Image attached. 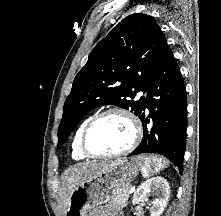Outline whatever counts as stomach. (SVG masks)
<instances>
[{
	"mask_svg": "<svg viewBox=\"0 0 221 216\" xmlns=\"http://www.w3.org/2000/svg\"><path fill=\"white\" fill-rule=\"evenodd\" d=\"M139 173L135 162L117 159L106 164L82 181L69 195L64 216H88L110 201L122 187L132 182Z\"/></svg>",
	"mask_w": 221,
	"mask_h": 216,
	"instance_id": "0dacf381",
	"label": "stomach"
}]
</instances>
